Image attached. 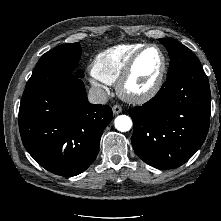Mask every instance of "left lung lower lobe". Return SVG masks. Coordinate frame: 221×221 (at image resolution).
Masks as SVG:
<instances>
[{"label": "left lung lower lobe", "mask_w": 221, "mask_h": 221, "mask_svg": "<svg viewBox=\"0 0 221 221\" xmlns=\"http://www.w3.org/2000/svg\"><path fill=\"white\" fill-rule=\"evenodd\" d=\"M135 153L158 169L176 168L202 146L211 113L209 81L201 66L168 78L158 94L129 109Z\"/></svg>", "instance_id": "0a47b994"}]
</instances>
